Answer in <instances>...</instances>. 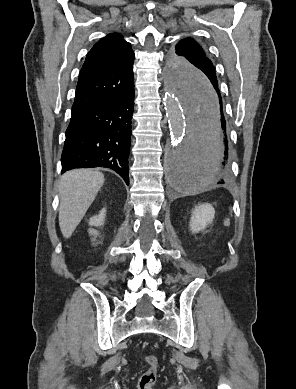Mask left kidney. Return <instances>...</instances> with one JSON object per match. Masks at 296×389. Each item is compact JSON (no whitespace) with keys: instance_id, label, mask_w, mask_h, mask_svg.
<instances>
[{"instance_id":"obj_1","label":"left kidney","mask_w":296,"mask_h":389,"mask_svg":"<svg viewBox=\"0 0 296 389\" xmlns=\"http://www.w3.org/2000/svg\"><path fill=\"white\" fill-rule=\"evenodd\" d=\"M215 210L209 203L200 204L192 211L190 230L192 233L203 231L213 222Z\"/></svg>"}]
</instances>
